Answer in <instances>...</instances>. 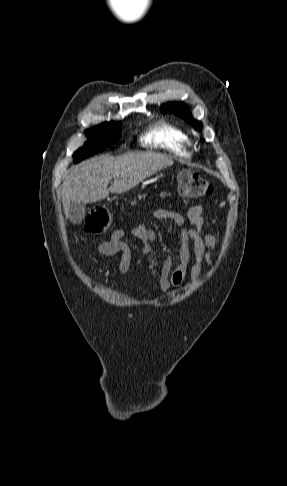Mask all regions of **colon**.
<instances>
[{
    "instance_id": "1",
    "label": "colon",
    "mask_w": 287,
    "mask_h": 486,
    "mask_svg": "<svg viewBox=\"0 0 287 486\" xmlns=\"http://www.w3.org/2000/svg\"><path fill=\"white\" fill-rule=\"evenodd\" d=\"M178 190L183 196L200 198L210 196L213 193V186L196 173L183 171L178 175ZM110 223L109 211L104 206H97L88 214L84 229L90 234H101L109 228Z\"/></svg>"
}]
</instances>
